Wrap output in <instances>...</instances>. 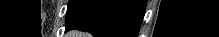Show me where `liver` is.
Wrapping results in <instances>:
<instances>
[{"mask_svg": "<svg viewBox=\"0 0 219 37\" xmlns=\"http://www.w3.org/2000/svg\"><path fill=\"white\" fill-rule=\"evenodd\" d=\"M71 35L72 36H70V37H87L86 36L87 34H83V33L77 32V31H74Z\"/></svg>", "mask_w": 219, "mask_h": 37, "instance_id": "obj_1", "label": "liver"}]
</instances>
